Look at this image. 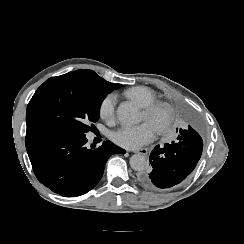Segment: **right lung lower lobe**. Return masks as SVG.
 I'll use <instances>...</instances> for the list:
<instances>
[{"label":"right lung lower lobe","instance_id":"right-lung-lower-lobe-1","mask_svg":"<svg viewBox=\"0 0 244 244\" xmlns=\"http://www.w3.org/2000/svg\"><path fill=\"white\" fill-rule=\"evenodd\" d=\"M85 135L32 128L26 149L37 179L53 192L75 197L91 190L101 179L108 158L126 151L109 141L89 147Z\"/></svg>","mask_w":244,"mask_h":244}]
</instances>
